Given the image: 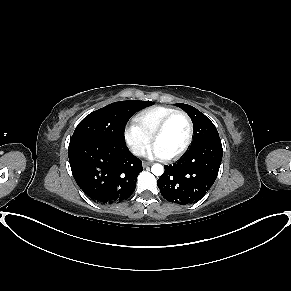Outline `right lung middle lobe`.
I'll use <instances>...</instances> for the list:
<instances>
[{
    "label": "right lung middle lobe",
    "mask_w": 291,
    "mask_h": 291,
    "mask_svg": "<svg viewBox=\"0 0 291 291\" xmlns=\"http://www.w3.org/2000/svg\"><path fill=\"white\" fill-rule=\"evenodd\" d=\"M153 105L149 101H120L87 115L76 127L70 143L95 140L125 144L124 130L130 117L138 110Z\"/></svg>",
    "instance_id": "right-lung-middle-lobe-1"
}]
</instances>
